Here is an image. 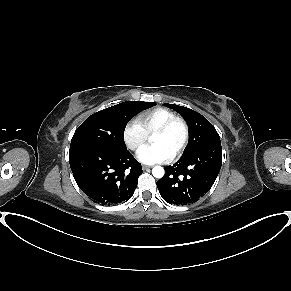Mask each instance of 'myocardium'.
Instances as JSON below:
<instances>
[{
    "mask_svg": "<svg viewBox=\"0 0 291 291\" xmlns=\"http://www.w3.org/2000/svg\"><path fill=\"white\" fill-rule=\"evenodd\" d=\"M175 125H180L183 131V137L176 148L175 152L173 153V158L179 156L184 149L186 148L189 137H190V130L187 122L181 118V117H174L168 121H166L164 124H162L153 134H166L168 133Z\"/></svg>",
    "mask_w": 291,
    "mask_h": 291,
    "instance_id": "myocardium-1",
    "label": "myocardium"
}]
</instances>
